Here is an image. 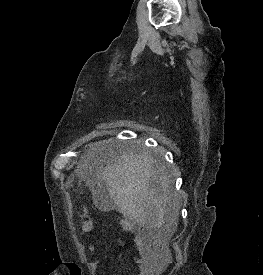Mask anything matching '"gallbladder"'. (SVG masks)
Here are the masks:
<instances>
[{"mask_svg":"<svg viewBox=\"0 0 263 275\" xmlns=\"http://www.w3.org/2000/svg\"><path fill=\"white\" fill-rule=\"evenodd\" d=\"M94 205L102 212H109L115 208L114 200L109 195L106 187L97 189L93 193Z\"/></svg>","mask_w":263,"mask_h":275,"instance_id":"obj_1","label":"gallbladder"}]
</instances>
